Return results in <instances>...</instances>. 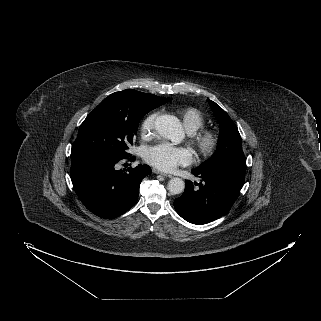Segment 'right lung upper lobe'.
I'll return each mask as SVG.
<instances>
[{
  "label": "right lung upper lobe",
  "instance_id": "1",
  "mask_svg": "<svg viewBox=\"0 0 321 321\" xmlns=\"http://www.w3.org/2000/svg\"><path fill=\"white\" fill-rule=\"evenodd\" d=\"M128 92H131V93H135L136 95H138L139 97H141L142 99L146 100V101H149V102H156V103H162V102H165V100L167 98H161V97H158L156 95H153V94H147V93H142V92H139V91H135V90H131V89H128L127 90ZM167 103V102H166ZM165 104V103H164ZM163 105V104H162Z\"/></svg>",
  "mask_w": 321,
  "mask_h": 321
}]
</instances>
